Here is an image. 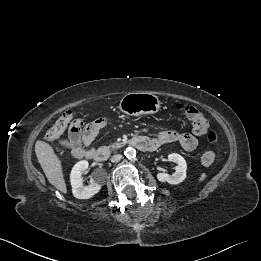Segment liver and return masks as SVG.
<instances>
[{
	"label": "liver",
	"instance_id": "liver-1",
	"mask_svg": "<svg viewBox=\"0 0 261 261\" xmlns=\"http://www.w3.org/2000/svg\"><path fill=\"white\" fill-rule=\"evenodd\" d=\"M35 153L49 183L62 193H67L61 161L52 146L38 140L35 144Z\"/></svg>",
	"mask_w": 261,
	"mask_h": 261
}]
</instances>
